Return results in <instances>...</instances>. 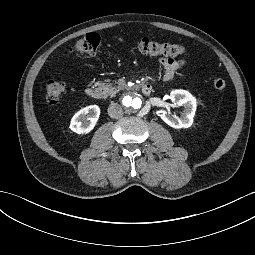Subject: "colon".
I'll return each instance as SVG.
<instances>
[{
	"label": "colon",
	"mask_w": 255,
	"mask_h": 255,
	"mask_svg": "<svg viewBox=\"0 0 255 255\" xmlns=\"http://www.w3.org/2000/svg\"><path fill=\"white\" fill-rule=\"evenodd\" d=\"M100 46V38L96 33H89L78 40L70 49L71 53L76 55L87 54L94 56L98 53ZM136 49L146 55H164L177 56L184 54L188 48L178 44L166 42H157L147 38L140 39L135 42ZM216 90H223L226 83L223 79L217 78L213 82ZM66 92V84L62 81L49 80L45 84L46 100L49 104H57Z\"/></svg>",
	"instance_id": "1"
}]
</instances>
